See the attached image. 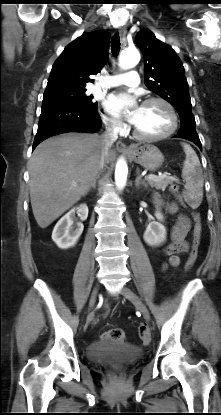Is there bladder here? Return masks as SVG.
I'll return each instance as SVG.
<instances>
[{"instance_id": "1", "label": "bladder", "mask_w": 221, "mask_h": 415, "mask_svg": "<svg viewBox=\"0 0 221 415\" xmlns=\"http://www.w3.org/2000/svg\"><path fill=\"white\" fill-rule=\"evenodd\" d=\"M87 356L98 364L125 365L140 359L142 349L126 342L98 341L89 346Z\"/></svg>"}]
</instances>
